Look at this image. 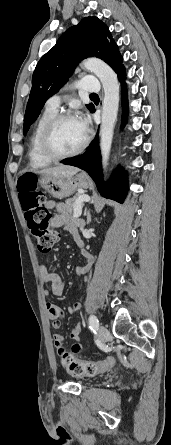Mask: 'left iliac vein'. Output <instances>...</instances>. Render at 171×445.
<instances>
[{
	"instance_id": "left-iliac-vein-1",
	"label": "left iliac vein",
	"mask_w": 171,
	"mask_h": 445,
	"mask_svg": "<svg viewBox=\"0 0 171 445\" xmlns=\"http://www.w3.org/2000/svg\"><path fill=\"white\" fill-rule=\"evenodd\" d=\"M97 332L101 341L106 342L108 340L109 331L105 326L100 325L97 329Z\"/></svg>"
}]
</instances>
